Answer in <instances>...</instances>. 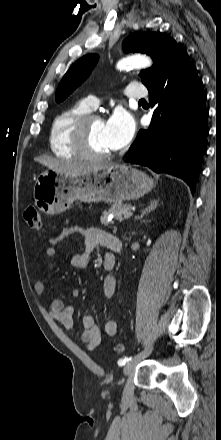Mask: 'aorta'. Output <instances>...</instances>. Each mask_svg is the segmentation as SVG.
Segmentation results:
<instances>
[{
    "mask_svg": "<svg viewBox=\"0 0 221 440\" xmlns=\"http://www.w3.org/2000/svg\"><path fill=\"white\" fill-rule=\"evenodd\" d=\"M152 65L151 59L146 55H131L117 63V68L119 70L131 69V68H141L149 67Z\"/></svg>",
    "mask_w": 221,
    "mask_h": 440,
    "instance_id": "1",
    "label": "aorta"
}]
</instances>
